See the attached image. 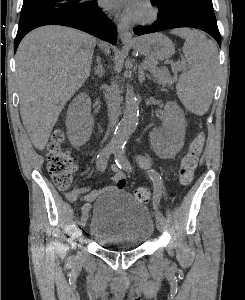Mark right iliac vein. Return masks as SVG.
<instances>
[{
	"instance_id": "right-iliac-vein-1",
	"label": "right iliac vein",
	"mask_w": 245,
	"mask_h": 300,
	"mask_svg": "<svg viewBox=\"0 0 245 300\" xmlns=\"http://www.w3.org/2000/svg\"><path fill=\"white\" fill-rule=\"evenodd\" d=\"M88 218H89V213H88V211L83 212V214H82V216H81L80 224H81L82 226H85V224H86Z\"/></svg>"
}]
</instances>
